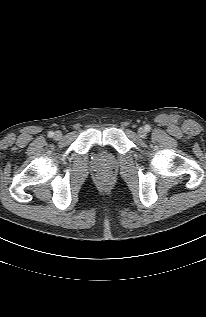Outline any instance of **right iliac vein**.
Wrapping results in <instances>:
<instances>
[{"label":"right iliac vein","mask_w":206,"mask_h":317,"mask_svg":"<svg viewBox=\"0 0 206 317\" xmlns=\"http://www.w3.org/2000/svg\"><path fill=\"white\" fill-rule=\"evenodd\" d=\"M54 137L55 139L59 140L62 137V133L60 131H56Z\"/></svg>","instance_id":"63e3f726"}]
</instances>
